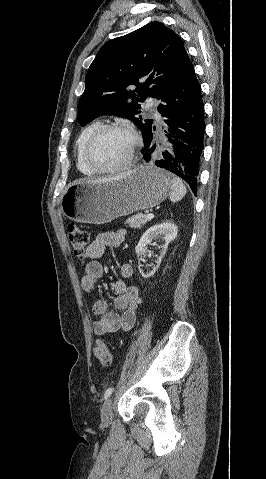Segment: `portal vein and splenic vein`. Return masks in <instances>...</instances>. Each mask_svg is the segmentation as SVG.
Instances as JSON below:
<instances>
[{
	"label": "portal vein and splenic vein",
	"instance_id": "portal-vein-and-splenic-vein-1",
	"mask_svg": "<svg viewBox=\"0 0 266 479\" xmlns=\"http://www.w3.org/2000/svg\"><path fill=\"white\" fill-rule=\"evenodd\" d=\"M146 218H147V219H153V218H154V215H153V214H147V215H146Z\"/></svg>",
	"mask_w": 266,
	"mask_h": 479
}]
</instances>
